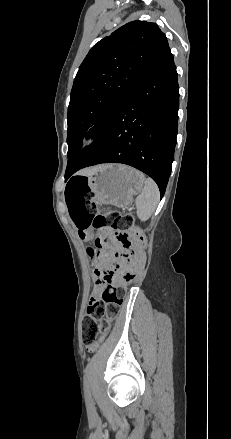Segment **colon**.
<instances>
[{"label":"colon","instance_id":"obj_1","mask_svg":"<svg viewBox=\"0 0 231 439\" xmlns=\"http://www.w3.org/2000/svg\"><path fill=\"white\" fill-rule=\"evenodd\" d=\"M65 195L71 217L82 235L93 229L99 232L96 241L108 240L107 234L100 231L111 227L116 232L115 241L121 248L114 258H106V270L102 275L108 287L90 303L83 319L82 339L87 346H92L107 335L112 321L118 315L125 288L133 282L142 267L146 240L134 226L132 216L115 210L97 213L91 201L93 192L86 180H72L66 186ZM124 263L125 267L118 274Z\"/></svg>","mask_w":231,"mask_h":439}]
</instances>
